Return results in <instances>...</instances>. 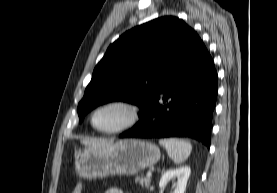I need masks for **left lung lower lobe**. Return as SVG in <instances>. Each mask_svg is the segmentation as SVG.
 Instances as JSON below:
<instances>
[{"label": "left lung lower lobe", "mask_w": 277, "mask_h": 193, "mask_svg": "<svg viewBox=\"0 0 277 193\" xmlns=\"http://www.w3.org/2000/svg\"><path fill=\"white\" fill-rule=\"evenodd\" d=\"M217 93L213 60L198 37L191 53L164 84L152 106L141 113L133 129L120 137H191L210 147Z\"/></svg>", "instance_id": "0a47b994"}]
</instances>
